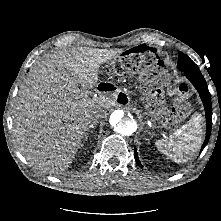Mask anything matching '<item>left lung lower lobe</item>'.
<instances>
[{"mask_svg": "<svg viewBox=\"0 0 221 221\" xmlns=\"http://www.w3.org/2000/svg\"><path fill=\"white\" fill-rule=\"evenodd\" d=\"M185 75L192 82L194 87L199 92L202 102L204 104L205 112H206L207 129H206V138L201 148V151H202L204 147L207 145L209 138H210V133H211V126H212L211 95L209 93L208 87L206 85V81L204 77L202 76L201 72H185ZM134 152H135V161L139 166H141L136 148L134 149Z\"/></svg>", "mask_w": 221, "mask_h": 221, "instance_id": "0a47b994", "label": "left lung lower lobe"}]
</instances>
